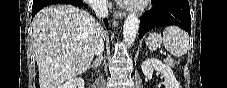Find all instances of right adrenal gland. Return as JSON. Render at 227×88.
<instances>
[{"label": "right adrenal gland", "instance_id": "right-adrenal-gland-1", "mask_svg": "<svg viewBox=\"0 0 227 88\" xmlns=\"http://www.w3.org/2000/svg\"><path fill=\"white\" fill-rule=\"evenodd\" d=\"M102 62V56H100L98 59H96L92 64H91V68H95L97 69L98 66H100Z\"/></svg>", "mask_w": 227, "mask_h": 88}]
</instances>
